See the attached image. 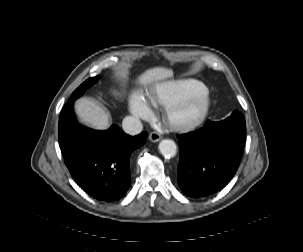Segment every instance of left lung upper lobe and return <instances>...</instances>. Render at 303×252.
<instances>
[{
  "mask_svg": "<svg viewBox=\"0 0 303 252\" xmlns=\"http://www.w3.org/2000/svg\"><path fill=\"white\" fill-rule=\"evenodd\" d=\"M220 122H229V123H245V119L242 113L234 111L230 117ZM214 123L209 121V124Z\"/></svg>",
  "mask_w": 303,
  "mask_h": 252,
  "instance_id": "left-lung-upper-lobe-1",
  "label": "left lung upper lobe"
}]
</instances>
